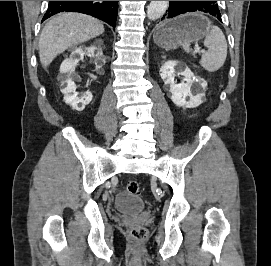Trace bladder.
<instances>
[{
  "label": "bladder",
  "instance_id": "1",
  "mask_svg": "<svg viewBox=\"0 0 271 266\" xmlns=\"http://www.w3.org/2000/svg\"><path fill=\"white\" fill-rule=\"evenodd\" d=\"M144 208L142 198L129 192L119 194L114 202V209L119 213L135 215Z\"/></svg>",
  "mask_w": 271,
  "mask_h": 266
}]
</instances>
